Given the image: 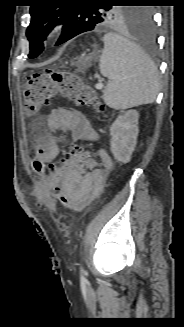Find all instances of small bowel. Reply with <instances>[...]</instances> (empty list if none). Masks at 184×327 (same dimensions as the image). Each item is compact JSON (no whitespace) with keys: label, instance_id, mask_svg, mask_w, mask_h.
I'll return each mask as SVG.
<instances>
[{"label":"small bowel","instance_id":"1","mask_svg":"<svg viewBox=\"0 0 184 327\" xmlns=\"http://www.w3.org/2000/svg\"><path fill=\"white\" fill-rule=\"evenodd\" d=\"M47 128L50 131H69L74 140H99L98 133L84 114L65 107H58L50 113ZM93 157V153H60L59 142L51 135L38 138L32 166L45 165L48 173L36 172L41 173V180L45 183H40L39 188H29V195L35 199L34 205L42 206V199H50L53 190L59 189L72 200L89 203L97 198L103 190L107 173L113 167V159L104 147H100L97 161L84 172L80 166H85L86 160H93Z\"/></svg>","mask_w":184,"mask_h":327}]
</instances>
